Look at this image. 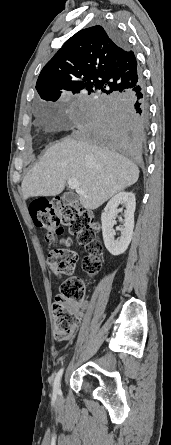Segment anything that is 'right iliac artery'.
<instances>
[{
	"instance_id": "right-iliac-artery-1",
	"label": "right iliac artery",
	"mask_w": 171,
	"mask_h": 445,
	"mask_svg": "<svg viewBox=\"0 0 171 445\" xmlns=\"http://www.w3.org/2000/svg\"><path fill=\"white\" fill-rule=\"evenodd\" d=\"M62 374H63V368L59 370L54 380L53 389L55 393H60V381Z\"/></svg>"
}]
</instances>
